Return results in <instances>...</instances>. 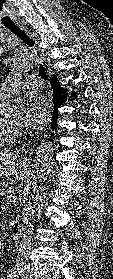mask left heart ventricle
Returning <instances> with one entry per match:
<instances>
[{"label": "left heart ventricle", "instance_id": "left-heart-ventricle-1", "mask_svg": "<svg viewBox=\"0 0 113 279\" xmlns=\"http://www.w3.org/2000/svg\"><path fill=\"white\" fill-rule=\"evenodd\" d=\"M22 116H23L22 111H19V112H17V113L10 114V115H9V118H10L13 122L19 123V122L22 120Z\"/></svg>", "mask_w": 113, "mask_h": 279}]
</instances>
